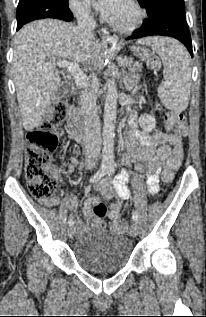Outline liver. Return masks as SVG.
<instances>
[{"label": "liver", "mask_w": 206, "mask_h": 317, "mask_svg": "<svg viewBox=\"0 0 206 317\" xmlns=\"http://www.w3.org/2000/svg\"><path fill=\"white\" fill-rule=\"evenodd\" d=\"M101 52L97 40L81 42L77 28L63 21H35L17 33L12 72L26 131L42 122L62 86L56 59H72L87 67V62L96 61Z\"/></svg>", "instance_id": "liver-1"}]
</instances>
